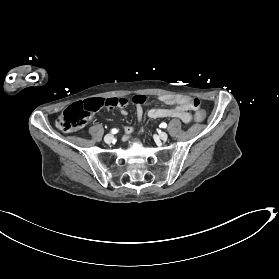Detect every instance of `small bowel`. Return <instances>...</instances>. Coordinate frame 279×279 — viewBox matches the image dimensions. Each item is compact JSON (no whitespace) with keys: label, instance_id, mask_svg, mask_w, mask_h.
<instances>
[{"label":"small bowel","instance_id":"1","mask_svg":"<svg viewBox=\"0 0 279 279\" xmlns=\"http://www.w3.org/2000/svg\"><path fill=\"white\" fill-rule=\"evenodd\" d=\"M159 100L167 105H174L170 108H153L149 110L148 115L152 119L157 118H179L184 123L191 121V113L189 108L180 98H175L169 95H162ZM122 115H127L126 110L121 111ZM137 117L141 121L143 118V110L141 107L137 108ZM134 132L133 126H126L124 128V139H129Z\"/></svg>","mask_w":279,"mask_h":279}]
</instances>
